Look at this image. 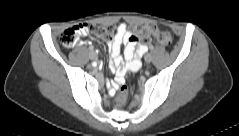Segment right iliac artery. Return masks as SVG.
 <instances>
[{
  "instance_id": "82829eb1",
  "label": "right iliac artery",
  "mask_w": 239,
  "mask_h": 136,
  "mask_svg": "<svg viewBox=\"0 0 239 136\" xmlns=\"http://www.w3.org/2000/svg\"><path fill=\"white\" fill-rule=\"evenodd\" d=\"M90 49H88V53H91L92 52V50L94 51L96 48L95 47H93V46H90L89 47Z\"/></svg>"
}]
</instances>
